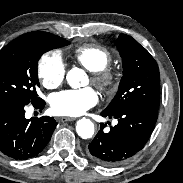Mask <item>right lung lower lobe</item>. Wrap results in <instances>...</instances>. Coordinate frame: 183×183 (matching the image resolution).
Masks as SVG:
<instances>
[{
	"mask_svg": "<svg viewBox=\"0 0 183 183\" xmlns=\"http://www.w3.org/2000/svg\"><path fill=\"white\" fill-rule=\"evenodd\" d=\"M29 103L37 109L45 106V101L41 98L0 101V151L16 160H25L39 154L57 125L54 118L49 116L26 119L24 107Z\"/></svg>",
	"mask_w": 183,
	"mask_h": 183,
	"instance_id": "obj_1",
	"label": "right lung lower lobe"
}]
</instances>
